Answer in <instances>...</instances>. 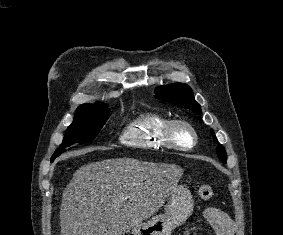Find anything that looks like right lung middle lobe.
Returning <instances> with one entry per match:
<instances>
[{
    "label": "right lung middle lobe",
    "mask_w": 283,
    "mask_h": 235,
    "mask_svg": "<svg viewBox=\"0 0 283 235\" xmlns=\"http://www.w3.org/2000/svg\"><path fill=\"white\" fill-rule=\"evenodd\" d=\"M109 116L105 106H79L74 121L66 130L60 149L55 151L51 161L64 152L65 147L74 143H86L95 138Z\"/></svg>",
    "instance_id": "obj_1"
}]
</instances>
